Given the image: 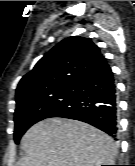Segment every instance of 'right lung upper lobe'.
I'll list each match as a JSON object with an SVG mask.
<instances>
[{
  "instance_id": "obj_1",
  "label": "right lung upper lobe",
  "mask_w": 135,
  "mask_h": 166,
  "mask_svg": "<svg viewBox=\"0 0 135 166\" xmlns=\"http://www.w3.org/2000/svg\"><path fill=\"white\" fill-rule=\"evenodd\" d=\"M106 63L100 48L91 39L72 36L46 53L20 80L16 106L50 96L74 84Z\"/></svg>"
}]
</instances>
